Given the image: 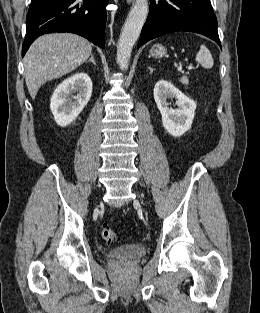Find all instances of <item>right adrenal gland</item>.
Here are the masks:
<instances>
[{
  "label": "right adrenal gland",
  "mask_w": 260,
  "mask_h": 313,
  "mask_svg": "<svg viewBox=\"0 0 260 313\" xmlns=\"http://www.w3.org/2000/svg\"><path fill=\"white\" fill-rule=\"evenodd\" d=\"M89 61L92 62L94 65H96L93 54L91 55Z\"/></svg>",
  "instance_id": "obj_1"
}]
</instances>
